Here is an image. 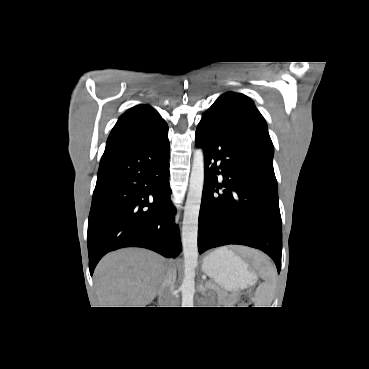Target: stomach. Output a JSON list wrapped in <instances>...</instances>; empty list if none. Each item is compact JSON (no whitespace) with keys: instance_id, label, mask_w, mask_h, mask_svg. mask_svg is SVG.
I'll return each instance as SVG.
<instances>
[{"instance_id":"1","label":"stomach","mask_w":369,"mask_h":369,"mask_svg":"<svg viewBox=\"0 0 369 369\" xmlns=\"http://www.w3.org/2000/svg\"><path fill=\"white\" fill-rule=\"evenodd\" d=\"M202 269L227 291L245 289L256 281V274L249 265L226 247L207 255L203 260Z\"/></svg>"}]
</instances>
